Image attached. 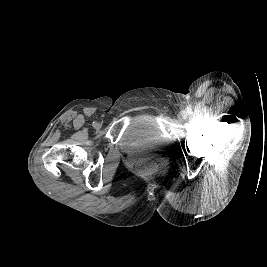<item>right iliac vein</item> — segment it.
<instances>
[{"mask_svg":"<svg viewBox=\"0 0 267 267\" xmlns=\"http://www.w3.org/2000/svg\"><path fill=\"white\" fill-rule=\"evenodd\" d=\"M95 128H96V129H99V128H100V126H99L98 123H96Z\"/></svg>","mask_w":267,"mask_h":267,"instance_id":"obj_1","label":"right iliac vein"}]
</instances>
